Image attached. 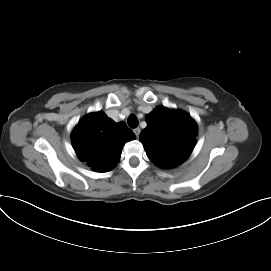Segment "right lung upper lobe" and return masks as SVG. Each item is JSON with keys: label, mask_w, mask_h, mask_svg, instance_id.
<instances>
[{"label": "right lung upper lobe", "mask_w": 271, "mask_h": 271, "mask_svg": "<svg viewBox=\"0 0 271 271\" xmlns=\"http://www.w3.org/2000/svg\"><path fill=\"white\" fill-rule=\"evenodd\" d=\"M134 138L124 122L115 123L103 112L86 115L71 136L79 159L97 172L111 170L120 159L123 145Z\"/></svg>", "instance_id": "right-lung-upper-lobe-1"}]
</instances>
